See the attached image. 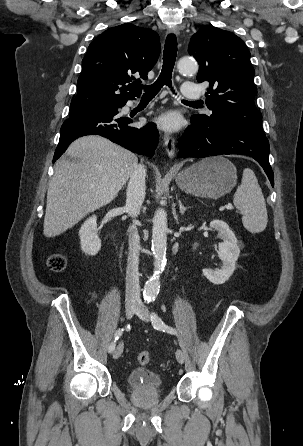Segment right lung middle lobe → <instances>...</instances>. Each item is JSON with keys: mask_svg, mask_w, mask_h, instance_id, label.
Returning a JSON list of instances; mask_svg holds the SVG:
<instances>
[{"mask_svg": "<svg viewBox=\"0 0 303 446\" xmlns=\"http://www.w3.org/2000/svg\"><path fill=\"white\" fill-rule=\"evenodd\" d=\"M122 106H124V104L123 105H119V106L102 107L100 109L117 110L118 108H120ZM86 110H87V107L84 104H81L79 102H75V103L71 102L69 116L76 115V114L83 113V112H87Z\"/></svg>", "mask_w": 303, "mask_h": 446, "instance_id": "right-lung-middle-lobe-1", "label": "right lung middle lobe"}]
</instances>
